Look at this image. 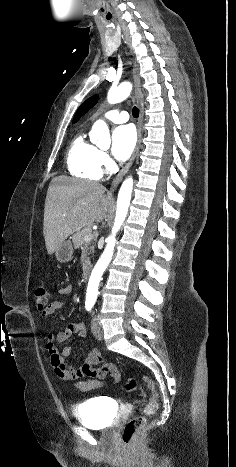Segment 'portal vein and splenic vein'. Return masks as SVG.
<instances>
[{
    "mask_svg": "<svg viewBox=\"0 0 236 467\" xmlns=\"http://www.w3.org/2000/svg\"><path fill=\"white\" fill-rule=\"evenodd\" d=\"M92 239H93V234H88V235H85V237H84V240H85L86 242H89V241H91Z\"/></svg>",
    "mask_w": 236,
    "mask_h": 467,
    "instance_id": "1",
    "label": "portal vein and splenic vein"
}]
</instances>
